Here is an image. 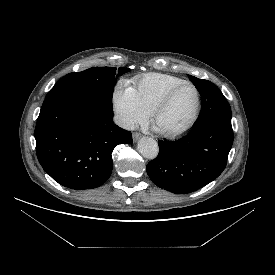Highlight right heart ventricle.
Masks as SVG:
<instances>
[{
  "instance_id": "right-heart-ventricle-1",
  "label": "right heart ventricle",
  "mask_w": 275,
  "mask_h": 275,
  "mask_svg": "<svg viewBox=\"0 0 275 275\" xmlns=\"http://www.w3.org/2000/svg\"><path fill=\"white\" fill-rule=\"evenodd\" d=\"M182 81L183 79L168 74L149 73L135 79V90L141 104L150 113L164 93Z\"/></svg>"
}]
</instances>
